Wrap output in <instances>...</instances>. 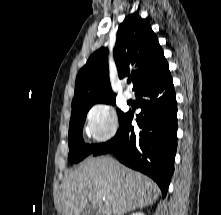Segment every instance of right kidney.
I'll list each match as a JSON object with an SVG mask.
<instances>
[{"label": "right kidney", "instance_id": "right-kidney-1", "mask_svg": "<svg viewBox=\"0 0 221 215\" xmlns=\"http://www.w3.org/2000/svg\"><path fill=\"white\" fill-rule=\"evenodd\" d=\"M131 215H145L142 212H136V213H132Z\"/></svg>", "mask_w": 221, "mask_h": 215}]
</instances>
